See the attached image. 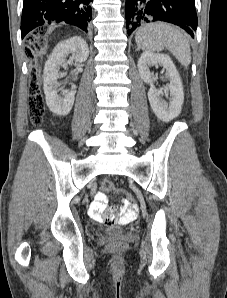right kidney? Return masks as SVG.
<instances>
[{
    "label": "right kidney",
    "instance_id": "1",
    "mask_svg": "<svg viewBox=\"0 0 227 298\" xmlns=\"http://www.w3.org/2000/svg\"><path fill=\"white\" fill-rule=\"evenodd\" d=\"M70 54L76 64L86 61L89 55L86 41L81 37H72L68 40L61 41L55 46L44 67L43 88L46 103L49 109L59 116L68 115L75 100V89L63 96L58 95L57 90V80L62 76V74L59 73L60 66L63 65Z\"/></svg>",
    "mask_w": 227,
    "mask_h": 298
}]
</instances>
